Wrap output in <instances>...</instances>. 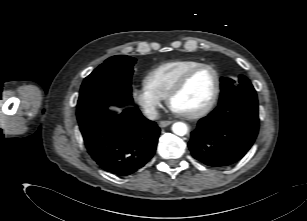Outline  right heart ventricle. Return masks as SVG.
Returning <instances> with one entry per match:
<instances>
[{
  "label": "right heart ventricle",
  "mask_w": 307,
  "mask_h": 221,
  "mask_svg": "<svg viewBox=\"0 0 307 221\" xmlns=\"http://www.w3.org/2000/svg\"><path fill=\"white\" fill-rule=\"evenodd\" d=\"M202 64L196 60H174L151 69L144 77V86L154 95L165 99L176 82L190 69Z\"/></svg>",
  "instance_id": "right-heart-ventricle-1"
}]
</instances>
